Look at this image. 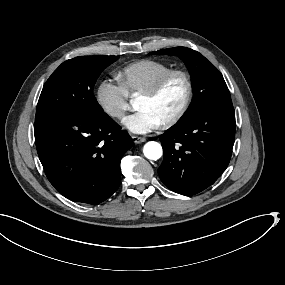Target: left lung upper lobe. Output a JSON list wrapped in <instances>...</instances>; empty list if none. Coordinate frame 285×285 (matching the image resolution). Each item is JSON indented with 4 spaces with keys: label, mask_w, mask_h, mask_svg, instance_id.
Listing matches in <instances>:
<instances>
[{
    "label": "left lung upper lobe",
    "mask_w": 285,
    "mask_h": 285,
    "mask_svg": "<svg viewBox=\"0 0 285 285\" xmlns=\"http://www.w3.org/2000/svg\"><path fill=\"white\" fill-rule=\"evenodd\" d=\"M151 54L177 55L188 67L194 97L181 119L193 117L208 108H233L230 92L222 74L199 52L186 47H175Z\"/></svg>",
    "instance_id": "1"
}]
</instances>
